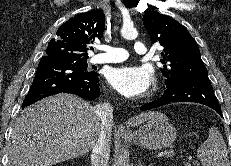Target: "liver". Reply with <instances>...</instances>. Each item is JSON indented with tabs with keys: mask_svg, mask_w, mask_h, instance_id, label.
Masks as SVG:
<instances>
[{
	"mask_svg": "<svg viewBox=\"0 0 231 166\" xmlns=\"http://www.w3.org/2000/svg\"><path fill=\"white\" fill-rule=\"evenodd\" d=\"M156 112L132 118L137 126ZM95 109L83 99L59 94L25 108L16 119L8 145V166H52L89 153L100 133Z\"/></svg>",
	"mask_w": 231,
	"mask_h": 166,
	"instance_id": "obj_1",
	"label": "liver"
}]
</instances>
